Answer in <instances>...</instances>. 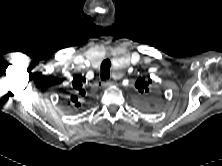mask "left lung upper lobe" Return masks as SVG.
I'll return each mask as SVG.
<instances>
[{"label":"left lung upper lobe","instance_id":"left-lung-upper-lobe-1","mask_svg":"<svg viewBox=\"0 0 222 166\" xmlns=\"http://www.w3.org/2000/svg\"><path fill=\"white\" fill-rule=\"evenodd\" d=\"M149 83H151L150 79L148 81H145L144 79L139 77L135 83V86L140 93H145L148 92Z\"/></svg>","mask_w":222,"mask_h":166}]
</instances>
